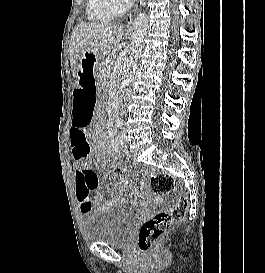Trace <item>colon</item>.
Wrapping results in <instances>:
<instances>
[{"instance_id":"5ec220e1","label":"colon","mask_w":265,"mask_h":273,"mask_svg":"<svg viewBox=\"0 0 265 273\" xmlns=\"http://www.w3.org/2000/svg\"><path fill=\"white\" fill-rule=\"evenodd\" d=\"M114 172L122 175L126 170L115 167ZM151 189L154 194L165 196L175 191L176 181L172 175L166 172L151 173L149 175ZM188 207V199L185 195L174 198L168 209L157 212L152 218L146 220L138 234L137 243L140 249L149 250L171 227L172 223L185 216Z\"/></svg>"}]
</instances>
